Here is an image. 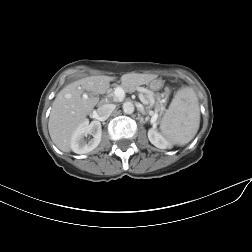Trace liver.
Listing matches in <instances>:
<instances>
[{
    "label": "liver",
    "instance_id": "1",
    "mask_svg": "<svg viewBox=\"0 0 252 252\" xmlns=\"http://www.w3.org/2000/svg\"><path fill=\"white\" fill-rule=\"evenodd\" d=\"M153 78L150 74H124L121 77V85L131 88L146 84ZM114 79L115 77L111 76L85 77L66 85L57 94L48 122L50 137L57 148L63 152H70L73 132L98 103V98L94 97V94L104 93ZM87 93H90V96Z\"/></svg>",
    "mask_w": 252,
    "mask_h": 252
}]
</instances>
